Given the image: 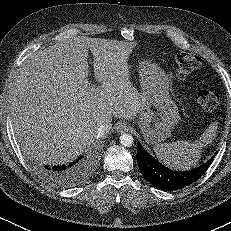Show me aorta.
Returning a JSON list of instances; mask_svg holds the SVG:
<instances>
[{
  "label": "aorta",
  "mask_w": 231,
  "mask_h": 231,
  "mask_svg": "<svg viewBox=\"0 0 231 231\" xmlns=\"http://www.w3.org/2000/svg\"><path fill=\"white\" fill-rule=\"evenodd\" d=\"M133 137L130 134L124 133L120 136V143L125 147H129L133 144Z\"/></svg>",
  "instance_id": "obj_1"
}]
</instances>
